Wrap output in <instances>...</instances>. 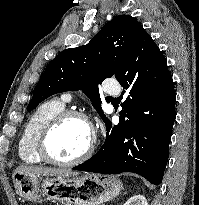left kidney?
<instances>
[{
    "label": "left kidney",
    "mask_w": 199,
    "mask_h": 205,
    "mask_svg": "<svg viewBox=\"0 0 199 205\" xmlns=\"http://www.w3.org/2000/svg\"><path fill=\"white\" fill-rule=\"evenodd\" d=\"M124 205H148V202L143 195L139 194L129 198Z\"/></svg>",
    "instance_id": "5707ae66"
}]
</instances>
